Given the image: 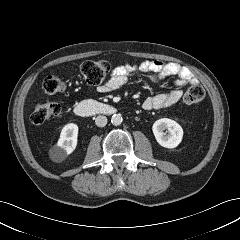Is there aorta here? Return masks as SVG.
I'll use <instances>...</instances> for the list:
<instances>
[{
  "mask_svg": "<svg viewBox=\"0 0 240 240\" xmlns=\"http://www.w3.org/2000/svg\"><path fill=\"white\" fill-rule=\"evenodd\" d=\"M123 119H122V116L120 114H114L112 117H111V123L114 125V126H118L122 123Z\"/></svg>",
  "mask_w": 240,
  "mask_h": 240,
  "instance_id": "aorta-1",
  "label": "aorta"
}]
</instances>
